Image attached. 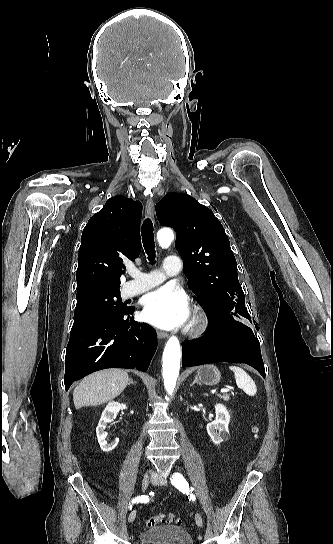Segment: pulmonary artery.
I'll return each mask as SVG.
<instances>
[{
    "instance_id": "1",
    "label": "pulmonary artery",
    "mask_w": 333,
    "mask_h": 544,
    "mask_svg": "<svg viewBox=\"0 0 333 544\" xmlns=\"http://www.w3.org/2000/svg\"><path fill=\"white\" fill-rule=\"evenodd\" d=\"M180 270V258L174 255L167 256L161 270H154L150 273L133 272L134 280L126 285L125 293L129 297L143 293L161 284L168 276L178 274Z\"/></svg>"
}]
</instances>
